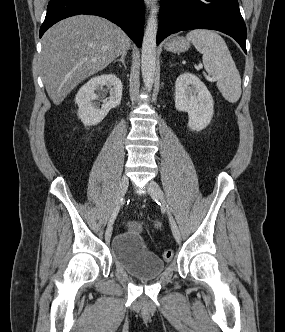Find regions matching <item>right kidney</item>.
<instances>
[{
	"label": "right kidney",
	"mask_w": 285,
	"mask_h": 332,
	"mask_svg": "<svg viewBox=\"0 0 285 332\" xmlns=\"http://www.w3.org/2000/svg\"><path fill=\"white\" fill-rule=\"evenodd\" d=\"M123 85L121 80L114 74H104L91 78L83 85L76 97L78 105V117L85 126H93L100 123L108 112L117 107L122 98ZM110 94L103 101L101 108L94 103L95 100Z\"/></svg>",
	"instance_id": "ca27d5eb"
}]
</instances>
